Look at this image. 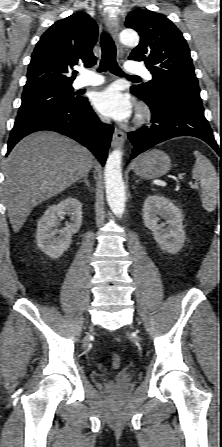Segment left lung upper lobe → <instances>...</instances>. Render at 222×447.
Listing matches in <instances>:
<instances>
[{
	"instance_id": "1",
	"label": "left lung upper lobe",
	"mask_w": 222,
	"mask_h": 447,
	"mask_svg": "<svg viewBox=\"0 0 222 447\" xmlns=\"http://www.w3.org/2000/svg\"><path fill=\"white\" fill-rule=\"evenodd\" d=\"M125 25L140 35L129 59L144 61L153 76L145 84L132 86L131 92L146 101L174 92L201 102L190 50L177 27L165 16L143 9L130 12Z\"/></svg>"
}]
</instances>
